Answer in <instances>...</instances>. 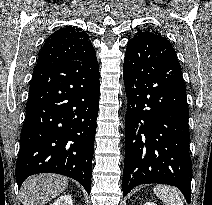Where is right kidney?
Instances as JSON below:
<instances>
[{
	"instance_id": "right-kidney-1",
	"label": "right kidney",
	"mask_w": 212,
	"mask_h": 205,
	"mask_svg": "<svg viewBox=\"0 0 212 205\" xmlns=\"http://www.w3.org/2000/svg\"><path fill=\"white\" fill-rule=\"evenodd\" d=\"M50 205H73L72 197L69 194L63 195Z\"/></svg>"
}]
</instances>
